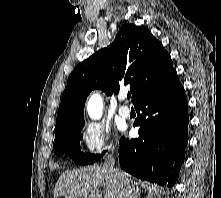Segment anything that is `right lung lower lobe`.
Returning a JSON list of instances; mask_svg holds the SVG:
<instances>
[{
	"label": "right lung lower lobe",
	"instance_id": "right-lung-lower-lobe-1",
	"mask_svg": "<svg viewBox=\"0 0 221 198\" xmlns=\"http://www.w3.org/2000/svg\"><path fill=\"white\" fill-rule=\"evenodd\" d=\"M139 138L122 137L119 162L122 169L140 179L171 187L184 161L188 142V103L184 88L172 71L134 105Z\"/></svg>",
	"mask_w": 221,
	"mask_h": 198
}]
</instances>
